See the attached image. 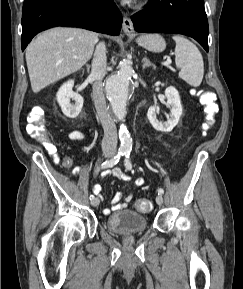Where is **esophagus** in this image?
I'll use <instances>...</instances> for the list:
<instances>
[{
    "label": "esophagus",
    "instance_id": "34e87169",
    "mask_svg": "<svg viewBox=\"0 0 243 289\" xmlns=\"http://www.w3.org/2000/svg\"><path fill=\"white\" fill-rule=\"evenodd\" d=\"M122 29L126 34L134 33V26L131 19L127 15H123Z\"/></svg>",
    "mask_w": 243,
    "mask_h": 289
}]
</instances>
